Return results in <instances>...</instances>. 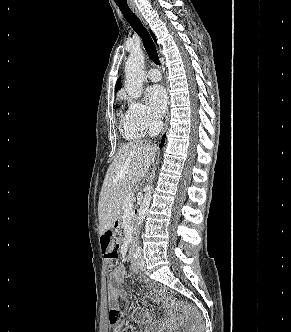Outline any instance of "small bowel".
Wrapping results in <instances>:
<instances>
[{
	"label": "small bowel",
	"mask_w": 291,
	"mask_h": 332,
	"mask_svg": "<svg viewBox=\"0 0 291 332\" xmlns=\"http://www.w3.org/2000/svg\"><path fill=\"white\" fill-rule=\"evenodd\" d=\"M122 254H125L126 247L122 246L120 249ZM131 271L137 273L138 270L136 267L132 266ZM126 275V268L123 265L116 266L111 274H110V283L108 287V298L109 301L116 306L118 300L126 297L127 293L125 289L122 287V283L124 281ZM149 299L154 302H162L163 306L167 308L168 319L165 321H154L152 317L141 308L136 310V317L140 323H152V330L159 331L165 328H172L179 325L182 321V318L175 314L174 311L168 308L167 301L170 299L168 297H164L163 291L159 288H152L148 295ZM131 332H150L149 330H134L130 328Z\"/></svg>",
	"instance_id": "1"
}]
</instances>
